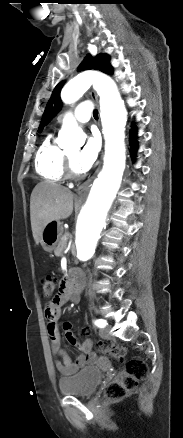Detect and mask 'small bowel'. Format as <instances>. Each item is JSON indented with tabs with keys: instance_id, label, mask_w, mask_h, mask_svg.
Returning a JSON list of instances; mask_svg holds the SVG:
<instances>
[{
	"instance_id": "small-bowel-1",
	"label": "small bowel",
	"mask_w": 183,
	"mask_h": 438,
	"mask_svg": "<svg viewBox=\"0 0 183 438\" xmlns=\"http://www.w3.org/2000/svg\"><path fill=\"white\" fill-rule=\"evenodd\" d=\"M84 278V274L81 271H73L70 277L62 284L59 294L46 306L45 309L47 333L50 338L52 352L56 356L60 357L59 360L55 361V367L57 371L64 376H69L76 373L79 369L85 367L95 360L91 342L89 340L78 342L72 332V324L65 322L63 324V329L65 332L66 341L81 351V354L77 357V359L72 360L61 345V337L58 327V321L61 317V308L73 297L71 282L75 279H80L83 282Z\"/></svg>"
}]
</instances>
